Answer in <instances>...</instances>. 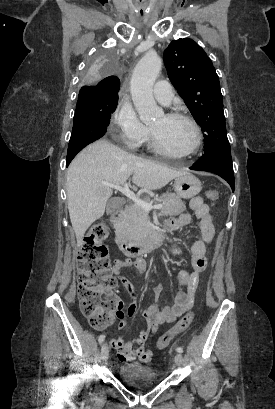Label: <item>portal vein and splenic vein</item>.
Segmentation results:
<instances>
[{"instance_id": "portal-vein-and-splenic-vein-1", "label": "portal vein and splenic vein", "mask_w": 275, "mask_h": 409, "mask_svg": "<svg viewBox=\"0 0 275 409\" xmlns=\"http://www.w3.org/2000/svg\"><path fill=\"white\" fill-rule=\"evenodd\" d=\"M103 184H107V186H112V188H117V190H120V192H123V194H126L128 198H132L134 200L135 205H139V207H142L144 211H152V209H162L163 205H152V202H145V200H142V198H139V196H136L135 192L133 190H130L127 182L124 184V186H118V184H111V182H103Z\"/></svg>"}]
</instances>
